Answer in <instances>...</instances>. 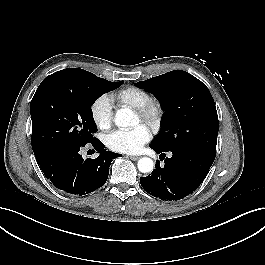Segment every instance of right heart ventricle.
Returning a JSON list of instances; mask_svg holds the SVG:
<instances>
[{"mask_svg": "<svg viewBox=\"0 0 265 265\" xmlns=\"http://www.w3.org/2000/svg\"><path fill=\"white\" fill-rule=\"evenodd\" d=\"M151 98L150 93L140 87L130 86L120 90L116 94V99L121 105L138 109Z\"/></svg>", "mask_w": 265, "mask_h": 265, "instance_id": "right-heart-ventricle-1", "label": "right heart ventricle"}]
</instances>
